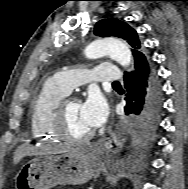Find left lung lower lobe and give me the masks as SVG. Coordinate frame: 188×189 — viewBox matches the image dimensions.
Returning <instances> with one entry per match:
<instances>
[{"label":"left lung lower lobe","mask_w":188,"mask_h":189,"mask_svg":"<svg viewBox=\"0 0 188 189\" xmlns=\"http://www.w3.org/2000/svg\"><path fill=\"white\" fill-rule=\"evenodd\" d=\"M125 114L131 116L136 132L157 126L162 108V89L149 59L140 60L135 70L125 72Z\"/></svg>","instance_id":"1"}]
</instances>
